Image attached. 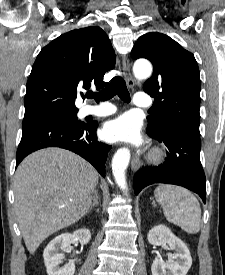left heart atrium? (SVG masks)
<instances>
[{"label":"left heart atrium","instance_id":"39dd6f15","mask_svg":"<svg viewBox=\"0 0 225 275\" xmlns=\"http://www.w3.org/2000/svg\"><path fill=\"white\" fill-rule=\"evenodd\" d=\"M103 135L113 142L139 143L141 140L138 122L129 115L108 122L104 126Z\"/></svg>","mask_w":225,"mask_h":275}]
</instances>
